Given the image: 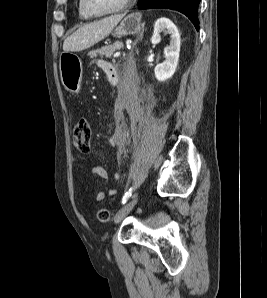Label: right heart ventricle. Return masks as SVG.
Segmentation results:
<instances>
[{
    "label": "right heart ventricle",
    "mask_w": 267,
    "mask_h": 298,
    "mask_svg": "<svg viewBox=\"0 0 267 298\" xmlns=\"http://www.w3.org/2000/svg\"><path fill=\"white\" fill-rule=\"evenodd\" d=\"M78 13H79V15H80L83 19L88 20V19L91 18L90 16H88V15L83 11V9H82V7H81L80 0H79V2H78Z\"/></svg>",
    "instance_id": "right-heart-ventricle-1"
}]
</instances>
